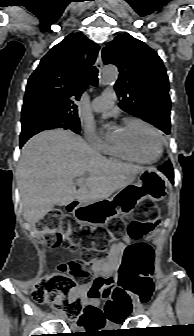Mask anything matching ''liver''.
I'll return each instance as SVG.
<instances>
[{"label": "liver", "mask_w": 194, "mask_h": 336, "mask_svg": "<svg viewBox=\"0 0 194 336\" xmlns=\"http://www.w3.org/2000/svg\"><path fill=\"white\" fill-rule=\"evenodd\" d=\"M142 169L105 158L71 131L41 132L23 146L17 169L24 218L34 227L55 205L108 199ZM85 174L88 177L81 178Z\"/></svg>", "instance_id": "liver-1"}]
</instances>
